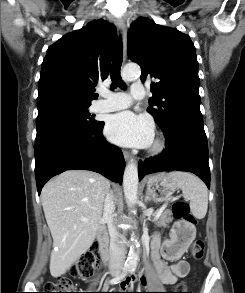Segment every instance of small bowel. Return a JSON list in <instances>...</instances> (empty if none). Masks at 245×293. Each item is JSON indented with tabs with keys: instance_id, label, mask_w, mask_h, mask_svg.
Listing matches in <instances>:
<instances>
[{
	"instance_id": "1",
	"label": "small bowel",
	"mask_w": 245,
	"mask_h": 293,
	"mask_svg": "<svg viewBox=\"0 0 245 293\" xmlns=\"http://www.w3.org/2000/svg\"><path fill=\"white\" fill-rule=\"evenodd\" d=\"M181 253L182 248L175 245L172 238H166L162 242L160 236H153L151 241V258L162 283L166 286L174 285L179 278L185 277L189 272L190 267L188 262L179 258ZM162 259L171 261L172 263L166 265ZM141 279L142 284L146 286L147 281L142 274ZM132 280L133 276L127 277L121 282V288L127 289ZM104 288H108V285H105Z\"/></svg>"
}]
</instances>
